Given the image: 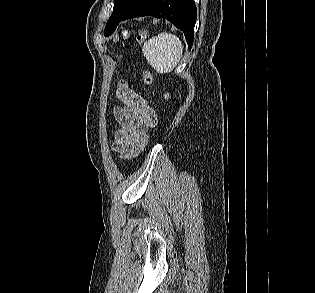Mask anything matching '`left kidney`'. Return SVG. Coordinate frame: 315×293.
Returning a JSON list of instances; mask_svg holds the SVG:
<instances>
[{
  "instance_id": "obj_1",
  "label": "left kidney",
  "mask_w": 315,
  "mask_h": 293,
  "mask_svg": "<svg viewBox=\"0 0 315 293\" xmlns=\"http://www.w3.org/2000/svg\"><path fill=\"white\" fill-rule=\"evenodd\" d=\"M165 99L169 98V94L164 95Z\"/></svg>"
}]
</instances>
